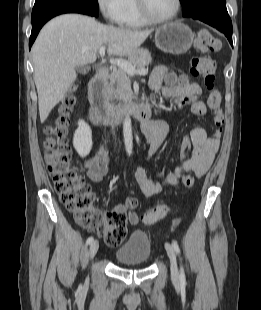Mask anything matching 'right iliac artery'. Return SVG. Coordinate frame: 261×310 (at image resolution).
Instances as JSON below:
<instances>
[{
    "mask_svg": "<svg viewBox=\"0 0 261 310\" xmlns=\"http://www.w3.org/2000/svg\"><path fill=\"white\" fill-rule=\"evenodd\" d=\"M93 242V237L92 236H90L88 239H87V245L88 244H91Z\"/></svg>",
    "mask_w": 261,
    "mask_h": 310,
    "instance_id": "right-iliac-artery-1",
    "label": "right iliac artery"
}]
</instances>
